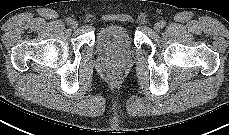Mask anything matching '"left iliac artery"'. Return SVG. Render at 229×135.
Returning <instances> with one entry per match:
<instances>
[{"label":"left iliac artery","instance_id":"obj_1","mask_svg":"<svg viewBox=\"0 0 229 135\" xmlns=\"http://www.w3.org/2000/svg\"><path fill=\"white\" fill-rule=\"evenodd\" d=\"M160 25H161V27H164L165 26V22L164 21H161L160 22Z\"/></svg>","mask_w":229,"mask_h":135}]
</instances>
